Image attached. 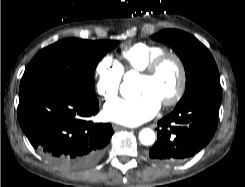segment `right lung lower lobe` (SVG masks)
Listing matches in <instances>:
<instances>
[{
  "instance_id": "right-lung-lower-lobe-1",
  "label": "right lung lower lobe",
  "mask_w": 245,
  "mask_h": 187,
  "mask_svg": "<svg viewBox=\"0 0 245 187\" xmlns=\"http://www.w3.org/2000/svg\"><path fill=\"white\" fill-rule=\"evenodd\" d=\"M98 110L97 98L55 85L37 86L19 97V122L30 143L67 170L87 168L103 155L113 129L87 120Z\"/></svg>"
}]
</instances>
